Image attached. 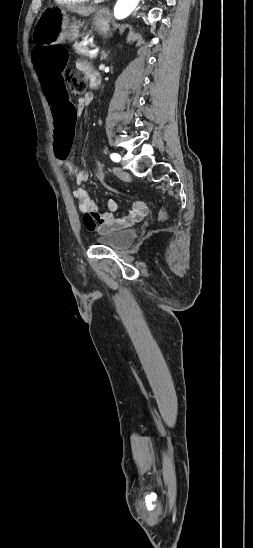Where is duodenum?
I'll list each match as a JSON object with an SVG mask.
<instances>
[{
	"mask_svg": "<svg viewBox=\"0 0 253 548\" xmlns=\"http://www.w3.org/2000/svg\"><path fill=\"white\" fill-rule=\"evenodd\" d=\"M97 84H98V78L96 76H93L92 77V85L97 86Z\"/></svg>",
	"mask_w": 253,
	"mask_h": 548,
	"instance_id": "410a0bca",
	"label": "duodenum"
}]
</instances>
